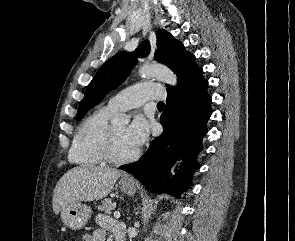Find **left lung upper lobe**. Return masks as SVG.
Instances as JSON below:
<instances>
[{
	"mask_svg": "<svg viewBox=\"0 0 295 241\" xmlns=\"http://www.w3.org/2000/svg\"><path fill=\"white\" fill-rule=\"evenodd\" d=\"M157 49L154 59L167 65L177 76V86H168L167 91L181 89L192 77L202 71L195 63V56L184 49L181 42L170 33L160 29L156 32ZM150 52V44L144 41L134 53L125 51L115 54L105 62L87 87L85 96L80 102L76 120H80L86 112L97 105L105 95L120 85L133 66L137 57H145Z\"/></svg>",
	"mask_w": 295,
	"mask_h": 241,
	"instance_id": "1",
	"label": "left lung upper lobe"
}]
</instances>
